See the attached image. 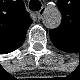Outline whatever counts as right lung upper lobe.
<instances>
[{"label":"right lung upper lobe","mask_w":80,"mask_h":80,"mask_svg":"<svg viewBox=\"0 0 80 80\" xmlns=\"http://www.w3.org/2000/svg\"><path fill=\"white\" fill-rule=\"evenodd\" d=\"M1 21L0 44L13 46L21 40L32 23L30 16L25 12L22 3L11 11H4Z\"/></svg>","instance_id":"cb5924a9"}]
</instances>
